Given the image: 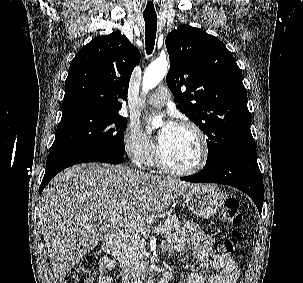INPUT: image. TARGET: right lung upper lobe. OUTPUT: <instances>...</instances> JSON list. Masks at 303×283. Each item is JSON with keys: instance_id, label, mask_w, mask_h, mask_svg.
<instances>
[{"instance_id": "1", "label": "right lung upper lobe", "mask_w": 303, "mask_h": 283, "mask_svg": "<svg viewBox=\"0 0 303 283\" xmlns=\"http://www.w3.org/2000/svg\"><path fill=\"white\" fill-rule=\"evenodd\" d=\"M139 61V50L119 32L93 39L70 64L62 116L79 112L119 114Z\"/></svg>"}]
</instances>
